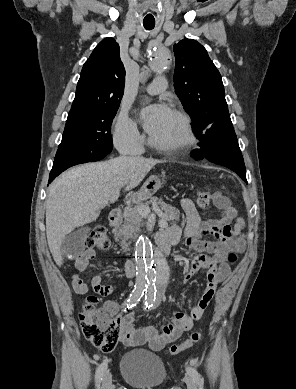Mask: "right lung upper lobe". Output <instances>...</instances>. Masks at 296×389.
<instances>
[{"label": "right lung upper lobe", "mask_w": 296, "mask_h": 389, "mask_svg": "<svg viewBox=\"0 0 296 389\" xmlns=\"http://www.w3.org/2000/svg\"><path fill=\"white\" fill-rule=\"evenodd\" d=\"M125 69L119 45L103 39L85 62L67 120L83 117L97 108L119 106L124 92Z\"/></svg>", "instance_id": "right-lung-upper-lobe-1"}]
</instances>
